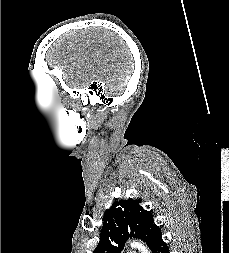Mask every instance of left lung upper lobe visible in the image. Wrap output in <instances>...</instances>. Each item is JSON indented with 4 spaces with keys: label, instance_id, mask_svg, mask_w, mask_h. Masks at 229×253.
Masks as SVG:
<instances>
[{
    "label": "left lung upper lobe",
    "instance_id": "1",
    "mask_svg": "<svg viewBox=\"0 0 229 253\" xmlns=\"http://www.w3.org/2000/svg\"><path fill=\"white\" fill-rule=\"evenodd\" d=\"M140 200L116 201L106 210L100 241L93 253H121L129 237L146 242L151 251L162 239L153 214L141 206Z\"/></svg>",
    "mask_w": 229,
    "mask_h": 253
}]
</instances>
